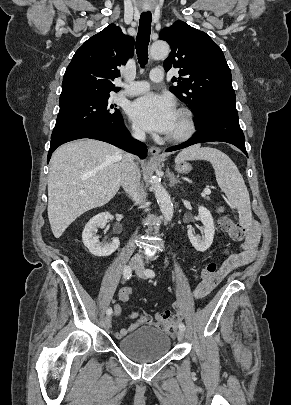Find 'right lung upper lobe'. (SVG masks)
<instances>
[{"label": "right lung upper lobe", "instance_id": "1", "mask_svg": "<svg viewBox=\"0 0 291 405\" xmlns=\"http://www.w3.org/2000/svg\"><path fill=\"white\" fill-rule=\"evenodd\" d=\"M134 53V39L114 24L89 38L74 54L62 82L60 101L110 96L119 67Z\"/></svg>", "mask_w": 291, "mask_h": 405}]
</instances>
